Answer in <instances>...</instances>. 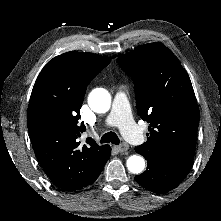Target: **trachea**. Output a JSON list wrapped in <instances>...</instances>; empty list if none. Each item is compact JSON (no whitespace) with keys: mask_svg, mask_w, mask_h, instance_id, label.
I'll list each match as a JSON object with an SVG mask.
<instances>
[{"mask_svg":"<svg viewBox=\"0 0 221 221\" xmlns=\"http://www.w3.org/2000/svg\"><path fill=\"white\" fill-rule=\"evenodd\" d=\"M101 143H112L118 145L120 143V140L116 133L114 132H108L105 133L100 140Z\"/></svg>","mask_w":221,"mask_h":221,"instance_id":"obj_1","label":"trachea"}]
</instances>
